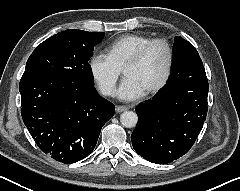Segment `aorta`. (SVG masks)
<instances>
[{
  "instance_id": "aorta-1",
  "label": "aorta",
  "mask_w": 240,
  "mask_h": 191,
  "mask_svg": "<svg viewBox=\"0 0 240 191\" xmlns=\"http://www.w3.org/2000/svg\"><path fill=\"white\" fill-rule=\"evenodd\" d=\"M121 124L126 128L135 127L138 122V116L133 111H126L120 116Z\"/></svg>"
}]
</instances>
